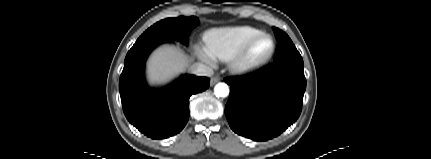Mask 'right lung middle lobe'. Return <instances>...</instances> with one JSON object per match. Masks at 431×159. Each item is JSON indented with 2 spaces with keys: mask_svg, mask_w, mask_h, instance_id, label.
Listing matches in <instances>:
<instances>
[{
  "mask_svg": "<svg viewBox=\"0 0 431 159\" xmlns=\"http://www.w3.org/2000/svg\"><path fill=\"white\" fill-rule=\"evenodd\" d=\"M198 18L191 17H177L167 18L155 23L148 28L136 41L135 44L159 40V41H174L181 40L182 43H187V37L190 31L198 26Z\"/></svg>",
  "mask_w": 431,
  "mask_h": 159,
  "instance_id": "1",
  "label": "right lung middle lobe"
}]
</instances>
